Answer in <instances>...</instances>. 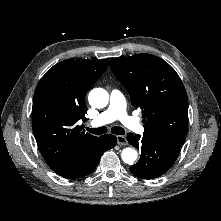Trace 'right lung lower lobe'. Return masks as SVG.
<instances>
[{"instance_id":"98d812e1","label":"right lung lower lobe","mask_w":221,"mask_h":221,"mask_svg":"<svg viewBox=\"0 0 221 221\" xmlns=\"http://www.w3.org/2000/svg\"><path fill=\"white\" fill-rule=\"evenodd\" d=\"M116 143L117 139L114 135L98 137L95 143L83 151L67 169L56 173L68 179L85 177L94 171L102 154L113 148Z\"/></svg>"}]
</instances>
